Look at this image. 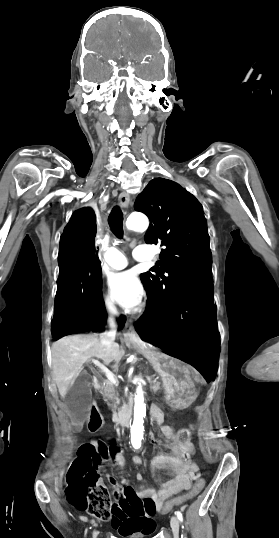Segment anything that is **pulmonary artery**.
<instances>
[{
    "mask_svg": "<svg viewBox=\"0 0 279 538\" xmlns=\"http://www.w3.org/2000/svg\"><path fill=\"white\" fill-rule=\"evenodd\" d=\"M135 260L141 261L142 258L134 256ZM103 267L108 270H118L127 266L128 255L119 249H111L108 256L102 262Z\"/></svg>",
    "mask_w": 279,
    "mask_h": 538,
    "instance_id": "1",
    "label": "pulmonary artery"
}]
</instances>
